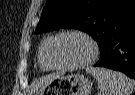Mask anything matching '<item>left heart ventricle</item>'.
Listing matches in <instances>:
<instances>
[{"mask_svg": "<svg viewBox=\"0 0 135 95\" xmlns=\"http://www.w3.org/2000/svg\"><path fill=\"white\" fill-rule=\"evenodd\" d=\"M91 54L89 44L81 37L64 36L57 39L51 49L54 64L69 66L85 61Z\"/></svg>", "mask_w": 135, "mask_h": 95, "instance_id": "left-heart-ventricle-1", "label": "left heart ventricle"}]
</instances>
